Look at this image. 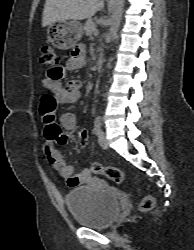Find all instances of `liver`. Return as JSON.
Returning <instances> with one entry per match:
<instances>
[{
	"label": "liver",
	"mask_w": 194,
	"mask_h": 250,
	"mask_svg": "<svg viewBox=\"0 0 194 250\" xmlns=\"http://www.w3.org/2000/svg\"><path fill=\"white\" fill-rule=\"evenodd\" d=\"M104 7V0H46L42 26L65 20L91 18Z\"/></svg>",
	"instance_id": "obj_1"
}]
</instances>
